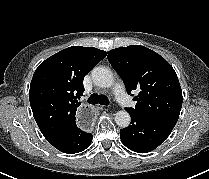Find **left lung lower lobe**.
<instances>
[{
  "mask_svg": "<svg viewBox=\"0 0 209 179\" xmlns=\"http://www.w3.org/2000/svg\"><path fill=\"white\" fill-rule=\"evenodd\" d=\"M127 112L132 117V122L130 126L120 130V138L128 149L137 153H147L157 148L175 126L135 112Z\"/></svg>",
  "mask_w": 209,
  "mask_h": 179,
  "instance_id": "obj_1",
  "label": "left lung lower lobe"
}]
</instances>
